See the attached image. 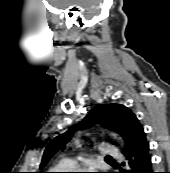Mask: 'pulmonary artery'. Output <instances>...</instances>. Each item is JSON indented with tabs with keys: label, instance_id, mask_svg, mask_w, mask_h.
<instances>
[{
	"label": "pulmonary artery",
	"instance_id": "1",
	"mask_svg": "<svg viewBox=\"0 0 170 173\" xmlns=\"http://www.w3.org/2000/svg\"><path fill=\"white\" fill-rule=\"evenodd\" d=\"M100 153L102 155H108V156H112V157H119L120 156L119 150L114 146H103L100 149Z\"/></svg>",
	"mask_w": 170,
	"mask_h": 173
}]
</instances>
